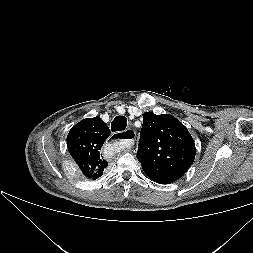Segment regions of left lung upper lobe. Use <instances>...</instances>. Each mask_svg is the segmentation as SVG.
I'll return each mask as SVG.
<instances>
[{"label": "left lung upper lobe", "mask_w": 253, "mask_h": 253, "mask_svg": "<svg viewBox=\"0 0 253 253\" xmlns=\"http://www.w3.org/2000/svg\"><path fill=\"white\" fill-rule=\"evenodd\" d=\"M137 159L145 174L159 184L182 177L195 158L188 129L169 114L144 113Z\"/></svg>", "instance_id": "obj_1"}]
</instances>
